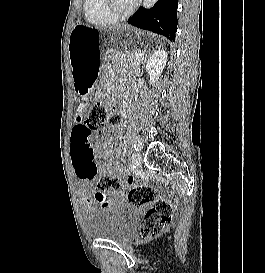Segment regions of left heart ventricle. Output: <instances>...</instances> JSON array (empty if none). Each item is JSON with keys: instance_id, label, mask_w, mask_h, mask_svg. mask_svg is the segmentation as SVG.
I'll return each instance as SVG.
<instances>
[{"instance_id": "1", "label": "left heart ventricle", "mask_w": 265, "mask_h": 273, "mask_svg": "<svg viewBox=\"0 0 265 273\" xmlns=\"http://www.w3.org/2000/svg\"><path fill=\"white\" fill-rule=\"evenodd\" d=\"M133 0H113V6L117 11H124L130 7Z\"/></svg>"}]
</instances>
